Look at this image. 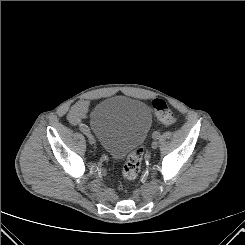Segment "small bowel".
I'll return each instance as SVG.
<instances>
[{"label":"small bowel","instance_id":"obj_1","mask_svg":"<svg viewBox=\"0 0 245 245\" xmlns=\"http://www.w3.org/2000/svg\"><path fill=\"white\" fill-rule=\"evenodd\" d=\"M88 102L86 100L77 101L70 109L67 119L72 126H82V121L86 118Z\"/></svg>","mask_w":245,"mask_h":245}]
</instances>
